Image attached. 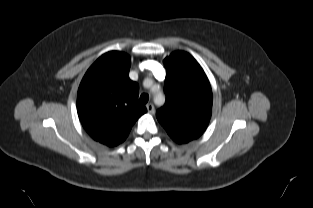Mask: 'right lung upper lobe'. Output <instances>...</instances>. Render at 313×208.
Masks as SVG:
<instances>
[{"instance_id":"obj_1","label":"right lung upper lobe","mask_w":313,"mask_h":208,"mask_svg":"<svg viewBox=\"0 0 313 208\" xmlns=\"http://www.w3.org/2000/svg\"><path fill=\"white\" fill-rule=\"evenodd\" d=\"M130 65L123 52L105 53L88 69L78 89L77 111L83 127L109 147L122 143L147 112L138 102V84L129 78Z\"/></svg>"}]
</instances>
